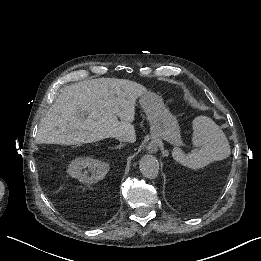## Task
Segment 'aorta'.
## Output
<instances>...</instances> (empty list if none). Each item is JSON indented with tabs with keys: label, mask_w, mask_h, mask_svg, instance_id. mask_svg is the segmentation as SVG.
<instances>
[{
	"label": "aorta",
	"mask_w": 261,
	"mask_h": 261,
	"mask_svg": "<svg viewBox=\"0 0 261 261\" xmlns=\"http://www.w3.org/2000/svg\"><path fill=\"white\" fill-rule=\"evenodd\" d=\"M139 168L143 176L153 179L158 176L159 163L152 155H144L139 162Z\"/></svg>",
	"instance_id": "aorta-1"
}]
</instances>
